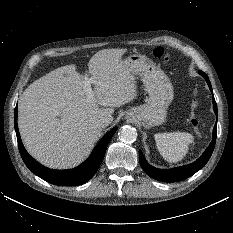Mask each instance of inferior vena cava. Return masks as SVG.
Returning <instances> with one entry per match:
<instances>
[{"label": "inferior vena cava", "instance_id": "obj_1", "mask_svg": "<svg viewBox=\"0 0 233 233\" xmlns=\"http://www.w3.org/2000/svg\"><path fill=\"white\" fill-rule=\"evenodd\" d=\"M112 120H113L112 117L103 116L100 119H98L97 125L100 128H105L112 122Z\"/></svg>", "mask_w": 233, "mask_h": 233}]
</instances>
